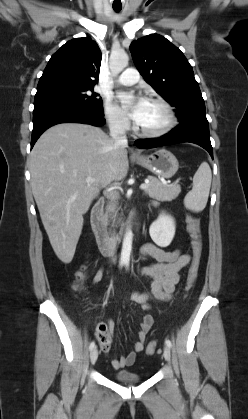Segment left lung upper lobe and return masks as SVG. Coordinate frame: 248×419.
<instances>
[{"label":"left lung upper lobe","instance_id":"obj_1","mask_svg":"<svg viewBox=\"0 0 248 419\" xmlns=\"http://www.w3.org/2000/svg\"><path fill=\"white\" fill-rule=\"evenodd\" d=\"M132 58L144 80L176 107L179 120L206 113L192 66L179 48L164 36L150 34L130 45Z\"/></svg>","mask_w":248,"mask_h":419}]
</instances>
